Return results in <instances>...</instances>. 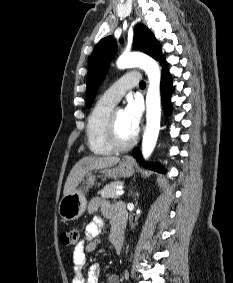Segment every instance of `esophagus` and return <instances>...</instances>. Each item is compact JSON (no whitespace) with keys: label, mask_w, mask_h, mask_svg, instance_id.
I'll return each mask as SVG.
<instances>
[{"label":"esophagus","mask_w":233,"mask_h":283,"mask_svg":"<svg viewBox=\"0 0 233 283\" xmlns=\"http://www.w3.org/2000/svg\"><path fill=\"white\" fill-rule=\"evenodd\" d=\"M127 161H132V159L128 158Z\"/></svg>","instance_id":"esophagus-1"}]
</instances>
